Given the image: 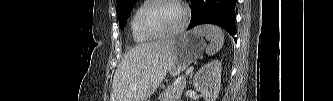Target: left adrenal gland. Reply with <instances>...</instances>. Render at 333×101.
<instances>
[{
  "mask_svg": "<svg viewBox=\"0 0 333 101\" xmlns=\"http://www.w3.org/2000/svg\"><path fill=\"white\" fill-rule=\"evenodd\" d=\"M192 75H193V72L191 73L190 78H192Z\"/></svg>",
  "mask_w": 333,
  "mask_h": 101,
  "instance_id": "left-adrenal-gland-1",
  "label": "left adrenal gland"
}]
</instances>
